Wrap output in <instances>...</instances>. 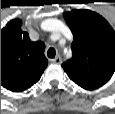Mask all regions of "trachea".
I'll return each instance as SVG.
<instances>
[{
	"label": "trachea",
	"mask_w": 115,
	"mask_h": 114,
	"mask_svg": "<svg viewBox=\"0 0 115 114\" xmlns=\"http://www.w3.org/2000/svg\"><path fill=\"white\" fill-rule=\"evenodd\" d=\"M55 55H56L55 49H54V48H49V50L47 51V56H48L49 58H54Z\"/></svg>",
	"instance_id": "3493384b"
}]
</instances>
